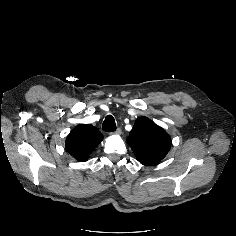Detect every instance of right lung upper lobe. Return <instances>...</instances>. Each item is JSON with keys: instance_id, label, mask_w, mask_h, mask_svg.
<instances>
[{"instance_id": "obj_1", "label": "right lung upper lobe", "mask_w": 236, "mask_h": 236, "mask_svg": "<svg viewBox=\"0 0 236 236\" xmlns=\"http://www.w3.org/2000/svg\"><path fill=\"white\" fill-rule=\"evenodd\" d=\"M102 139L103 136L96 127L81 124L67 136L65 147L77 161L84 162Z\"/></svg>"}]
</instances>
